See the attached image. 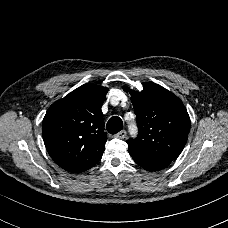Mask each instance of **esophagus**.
Instances as JSON below:
<instances>
[{
    "instance_id": "34e87169",
    "label": "esophagus",
    "mask_w": 228,
    "mask_h": 228,
    "mask_svg": "<svg viewBox=\"0 0 228 228\" xmlns=\"http://www.w3.org/2000/svg\"><path fill=\"white\" fill-rule=\"evenodd\" d=\"M126 137V131L125 130H121L119 133H117L115 135V138L117 139H124Z\"/></svg>"
}]
</instances>
